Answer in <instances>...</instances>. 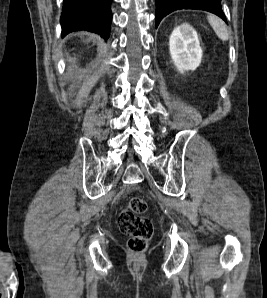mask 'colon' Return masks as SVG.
I'll return each mask as SVG.
<instances>
[{
  "instance_id": "obj_1",
  "label": "colon",
  "mask_w": 267,
  "mask_h": 298,
  "mask_svg": "<svg viewBox=\"0 0 267 298\" xmlns=\"http://www.w3.org/2000/svg\"><path fill=\"white\" fill-rule=\"evenodd\" d=\"M146 211V201L132 197L117 217L120 231L128 236L127 248L134 254H141L147 249L154 232L152 220L145 216Z\"/></svg>"
}]
</instances>
